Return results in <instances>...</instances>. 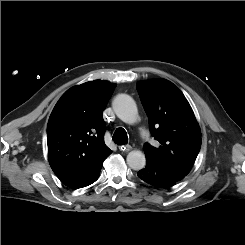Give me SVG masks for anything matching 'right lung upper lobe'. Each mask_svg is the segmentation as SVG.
I'll return each instance as SVG.
<instances>
[{"instance_id": "obj_1", "label": "right lung upper lobe", "mask_w": 245, "mask_h": 245, "mask_svg": "<svg viewBox=\"0 0 245 245\" xmlns=\"http://www.w3.org/2000/svg\"><path fill=\"white\" fill-rule=\"evenodd\" d=\"M116 84L94 80L69 89L55 105L47 126L48 158L57 177L80 188L100 172L112 153L105 145L103 109Z\"/></svg>"}]
</instances>
